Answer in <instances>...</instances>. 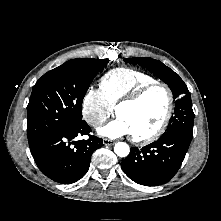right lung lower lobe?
I'll return each mask as SVG.
<instances>
[{"instance_id":"right-lung-lower-lobe-1","label":"right lung lower lobe","mask_w":221,"mask_h":221,"mask_svg":"<svg viewBox=\"0 0 221 221\" xmlns=\"http://www.w3.org/2000/svg\"><path fill=\"white\" fill-rule=\"evenodd\" d=\"M90 132L91 128L82 120L31 146V154L41 172L62 184L81 179L89 169L92 153L103 146V140ZM80 135H89V139L74 141Z\"/></svg>"}]
</instances>
